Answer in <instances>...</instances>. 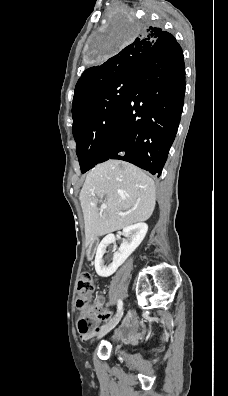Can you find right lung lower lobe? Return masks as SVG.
Wrapping results in <instances>:
<instances>
[{"instance_id": "1", "label": "right lung lower lobe", "mask_w": 228, "mask_h": 396, "mask_svg": "<svg viewBox=\"0 0 228 396\" xmlns=\"http://www.w3.org/2000/svg\"><path fill=\"white\" fill-rule=\"evenodd\" d=\"M154 49L140 62L115 119L105 154L160 176L183 109L185 66L180 45Z\"/></svg>"}]
</instances>
